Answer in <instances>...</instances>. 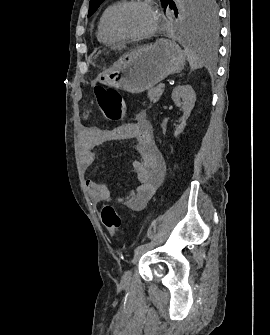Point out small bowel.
Listing matches in <instances>:
<instances>
[{"instance_id":"obj_1","label":"small bowel","mask_w":270,"mask_h":335,"mask_svg":"<svg viewBox=\"0 0 270 335\" xmlns=\"http://www.w3.org/2000/svg\"><path fill=\"white\" fill-rule=\"evenodd\" d=\"M88 116V112L84 113ZM103 137V131L94 126H83L81 129V140L83 144L82 162L90 166L95 161L94 149L99 145ZM119 139H133L136 142L138 159L131 162V167L136 175L139 185L127 195L119 197L117 200L124 207L139 211L143 209L156 189L161 184L164 173L165 163L158 154L154 140L152 125L145 119L124 124L118 128ZM86 187L94 203L112 201L109 188L102 183L92 179L86 180Z\"/></svg>"}]
</instances>
